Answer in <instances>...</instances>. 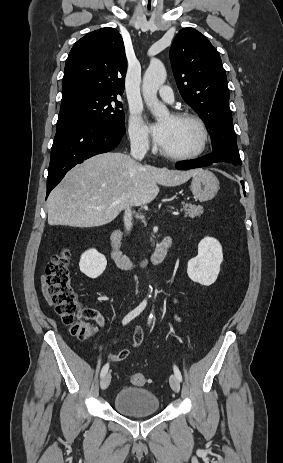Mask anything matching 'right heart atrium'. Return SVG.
I'll return each mask as SVG.
<instances>
[{"instance_id": "obj_1", "label": "right heart atrium", "mask_w": 283, "mask_h": 463, "mask_svg": "<svg viewBox=\"0 0 283 463\" xmlns=\"http://www.w3.org/2000/svg\"><path fill=\"white\" fill-rule=\"evenodd\" d=\"M128 135L132 146L136 149H147L149 147L147 130L138 111H132L130 115Z\"/></svg>"}]
</instances>
